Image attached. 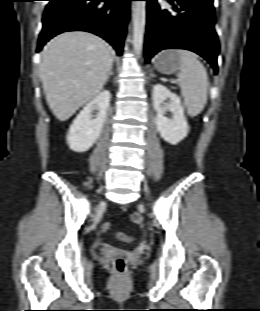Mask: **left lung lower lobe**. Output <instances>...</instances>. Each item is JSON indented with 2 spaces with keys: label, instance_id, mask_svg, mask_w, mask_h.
Segmentation results:
<instances>
[{
  "label": "left lung lower lobe",
  "instance_id": "left-lung-lower-lobe-1",
  "mask_svg": "<svg viewBox=\"0 0 260 311\" xmlns=\"http://www.w3.org/2000/svg\"><path fill=\"white\" fill-rule=\"evenodd\" d=\"M146 1V62L163 49H186L204 57L217 74L219 42L213 0H167L171 9L160 7L157 0Z\"/></svg>",
  "mask_w": 260,
  "mask_h": 311
}]
</instances>
